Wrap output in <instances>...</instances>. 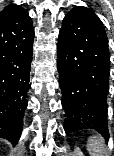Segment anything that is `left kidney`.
Instances as JSON below:
<instances>
[{
    "label": "left kidney",
    "mask_w": 114,
    "mask_h": 156,
    "mask_svg": "<svg viewBox=\"0 0 114 156\" xmlns=\"http://www.w3.org/2000/svg\"><path fill=\"white\" fill-rule=\"evenodd\" d=\"M73 156H84L82 151L77 147L74 150Z\"/></svg>",
    "instance_id": "obj_1"
}]
</instances>
